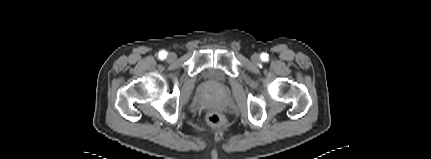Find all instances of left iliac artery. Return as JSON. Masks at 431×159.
Here are the masks:
<instances>
[{
  "instance_id": "obj_1",
  "label": "left iliac artery",
  "mask_w": 431,
  "mask_h": 159,
  "mask_svg": "<svg viewBox=\"0 0 431 159\" xmlns=\"http://www.w3.org/2000/svg\"><path fill=\"white\" fill-rule=\"evenodd\" d=\"M261 58H262L263 60L267 59V54H262V55H261Z\"/></svg>"
}]
</instances>
